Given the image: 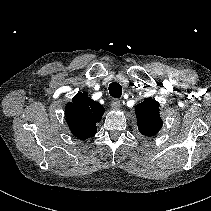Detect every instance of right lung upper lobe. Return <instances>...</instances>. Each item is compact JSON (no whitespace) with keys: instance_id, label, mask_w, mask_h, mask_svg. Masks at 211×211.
Returning a JSON list of instances; mask_svg holds the SVG:
<instances>
[{"instance_id":"obj_1","label":"right lung upper lobe","mask_w":211,"mask_h":211,"mask_svg":"<svg viewBox=\"0 0 211 211\" xmlns=\"http://www.w3.org/2000/svg\"><path fill=\"white\" fill-rule=\"evenodd\" d=\"M65 111L71 132L78 139L85 140L96 134V123L101 120L104 107L83 92L67 103Z\"/></svg>"}]
</instances>
